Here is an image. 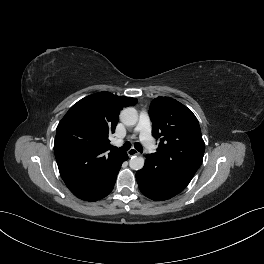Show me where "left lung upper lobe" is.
Returning <instances> with one entry per match:
<instances>
[{"label": "left lung upper lobe", "mask_w": 264, "mask_h": 264, "mask_svg": "<svg viewBox=\"0 0 264 264\" xmlns=\"http://www.w3.org/2000/svg\"><path fill=\"white\" fill-rule=\"evenodd\" d=\"M152 135L159 140L156 157L163 169L177 170L192 178L203 161L205 144L192 111L170 97H157L150 104Z\"/></svg>", "instance_id": "1"}]
</instances>
